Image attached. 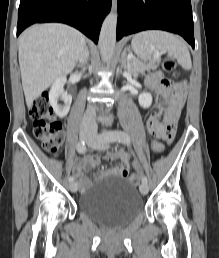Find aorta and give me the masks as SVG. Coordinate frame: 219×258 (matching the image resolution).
<instances>
[{"label":"aorta","instance_id":"obj_1","mask_svg":"<svg viewBox=\"0 0 219 258\" xmlns=\"http://www.w3.org/2000/svg\"><path fill=\"white\" fill-rule=\"evenodd\" d=\"M117 13L111 12L104 19L100 36L99 49L103 62H109L113 56L116 43Z\"/></svg>","mask_w":219,"mask_h":258}]
</instances>
